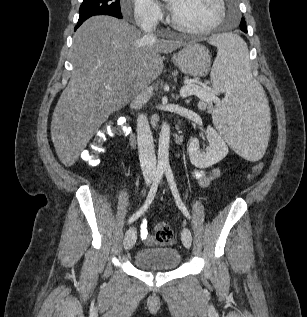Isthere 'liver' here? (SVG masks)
<instances>
[{
	"label": "liver",
	"mask_w": 307,
	"mask_h": 317,
	"mask_svg": "<svg viewBox=\"0 0 307 317\" xmlns=\"http://www.w3.org/2000/svg\"><path fill=\"white\" fill-rule=\"evenodd\" d=\"M184 45L179 40L148 42L135 26L110 16L85 21L73 36L72 75L51 121L60 161L72 166L106 119L161 75L160 54Z\"/></svg>",
	"instance_id": "obj_1"
}]
</instances>
